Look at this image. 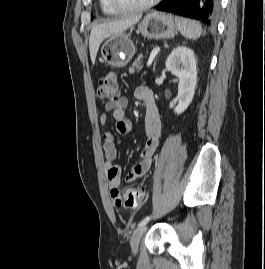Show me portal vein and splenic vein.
<instances>
[{
    "instance_id": "portal-vein-and-splenic-vein-1",
    "label": "portal vein and splenic vein",
    "mask_w": 265,
    "mask_h": 269,
    "mask_svg": "<svg viewBox=\"0 0 265 269\" xmlns=\"http://www.w3.org/2000/svg\"><path fill=\"white\" fill-rule=\"evenodd\" d=\"M160 51V48L159 47H156L152 50L151 54H150V57H149V60H148V63H147V66H150L153 59L155 58V56L159 53Z\"/></svg>"
}]
</instances>
